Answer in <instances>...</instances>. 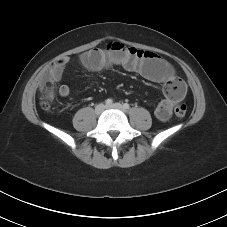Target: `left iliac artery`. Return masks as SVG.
I'll return each instance as SVG.
<instances>
[{
    "instance_id": "obj_1",
    "label": "left iliac artery",
    "mask_w": 227,
    "mask_h": 227,
    "mask_svg": "<svg viewBox=\"0 0 227 227\" xmlns=\"http://www.w3.org/2000/svg\"><path fill=\"white\" fill-rule=\"evenodd\" d=\"M123 107H124L125 109H129V108H130V105H129L128 103H125V104L123 105Z\"/></svg>"
}]
</instances>
